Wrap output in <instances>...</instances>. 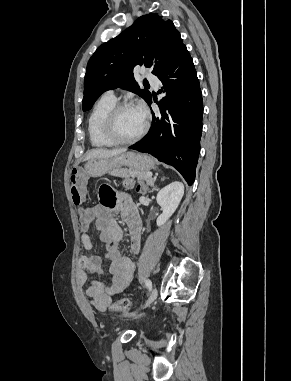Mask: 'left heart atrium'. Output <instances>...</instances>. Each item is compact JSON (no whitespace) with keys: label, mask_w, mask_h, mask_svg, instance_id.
I'll use <instances>...</instances> for the list:
<instances>
[{"label":"left heart atrium","mask_w":291,"mask_h":381,"mask_svg":"<svg viewBox=\"0 0 291 381\" xmlns=\"http://www.w3.org/2000/svg\"><path fill=\"white\" fill-rule=\"evenodd\" d=\"M134 107L138 111L140 116L145 120L147 116L146 107L142 103H137Z\"/></svg>","instance_id":"left-heart-atrium-1"}]
</instances>
